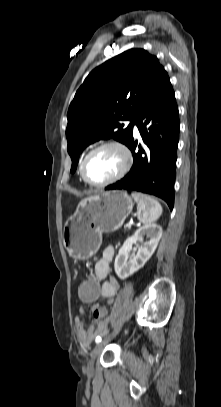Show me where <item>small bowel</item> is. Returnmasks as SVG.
I'll list each match as a JSON object with an SVG mask.
<instances>
[{
    "label": "small bowel",
    "instance_id": "small-bowel-1",
    "mask_svg": "<svg viewBox=\"0 0 221 407\" xmlns=\"http://www.w3.org/2000/svg\"><path fill=\"white\" fill-rule=\"evenodd\" d=\"M115 256V249L112 246H108L103 250L102 256L95 265L94 277H98L101 283V297L107 299L108 304H112L114 297L119 289V283L116 278L109 276L111 262ZM99 306L98 302L92 303L93 310ZM80 313L84 314V310L80 309ZM75 326L78 333V339L82 346H89L93 339L103 333L107 327V321L103 319H95L92 324L86 325L80 317H76Z\"/></svg>",
    "mask_w": 221,
    "mask_h": 407
}]
</instances>
